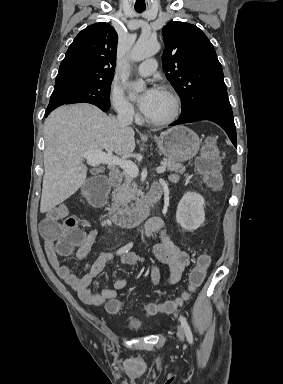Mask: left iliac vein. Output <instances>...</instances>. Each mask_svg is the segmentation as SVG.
<instances>
[{"label": "left iliac vein", "mask_w": 283, "mask_h": 384, "mask_svg": "<svg viewBox=\"0 0 283 384\" xmlns=\"http://www.w3.org/2000/svg\"><path fill=\"white\" fill-rule=\"evenodd\" d=\"M177 336L180 339V341H184L185 334H184L182 326L179 324L177 325Z\"/></svg>", "instance_id": "1"}]
</instances>
